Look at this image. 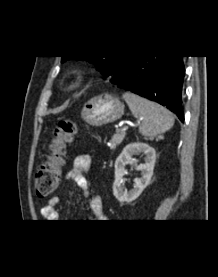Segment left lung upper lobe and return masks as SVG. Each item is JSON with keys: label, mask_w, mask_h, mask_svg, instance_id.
<instances>
[{"label": "left lung upper lobe", "mask_w": 218, "mask_h": 277, "mask_svg": "<svg viewBox=\"0 0 218 277\" xmlns=\"http://www.w3.org/2000/svg\"><path fill=\"white\" fill-rule=\"evenodd\" d=\"M134 57V55H122V56H84V57H66L63 56L61 62L68 59L76 58L80 60H86L94 63L101 74L106 78H111L113 75L119 73Z\"/></svg>", "instance_id": "obj_1"}]
</instances>
